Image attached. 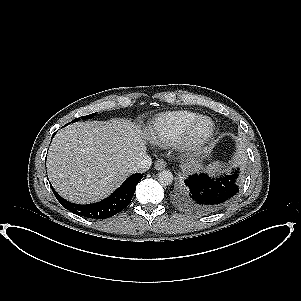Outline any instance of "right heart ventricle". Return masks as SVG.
<instances>
[{
  "mask_svg": "<svg viewBox=\"0 0 301 301\" xmlns=\"http://www.w3.org/2000/svg\"><path fill=\"white\" fill-rule=\"evenodd\" d=\"M200 116L199 113L188 110L160 113L150 123L148 129L149 139L161 146L172 144Z\"/></svg>",
  "mask_w": 301,
  "mask_h": 301,
  "instance_id": "obj_1",
  "label": "right heart ventricle"
}]
</instances>
